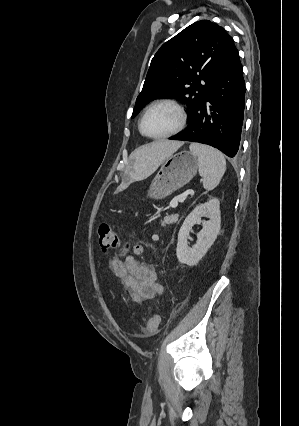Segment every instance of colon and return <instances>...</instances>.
I'll list each match as a JSON object with an SVG mask.
<instances>
[{"label": "colon", "instance_id": "5ec220e1", "mask_svg": "<svg viewBox=\"0 0 299 426\" xmlns=\"http://www.w3.org/2000/svg\"><path fill=\"white\" fill-rule=\"evenodd\" d=\"M98 243L101 251L107 253L111 250L118 248L121 245L120 237L117 229L108 223H102L98 229ZM131 249L128 243H125L123 246V252H128ZM141 247H133V251L136 254L141 253ZM160 323V318L158 315H152L145 323L143 327V332L146 335H153L157 332Z\"/></svg>", "mask_w": 299, "mask_h": 426}]
</instances>
